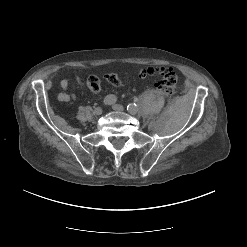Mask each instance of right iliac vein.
<instances>
[{
	"label": "right iliac vein",
	"mask_w": 247,
	"mask_h": 247,
	"mask_svg": "<svg viewBox=\"0 0 247 247\" xmlns=\"http://www.w3.org/2000/svg\"><path fill=\"white\" fill-rule=\"evenodd\" d=\"M93 113L95 115H101L102 114V108L101 107H97L94 109Z\"/></svg>",
	"instance_id": "obj_1"
}]
</instances>
